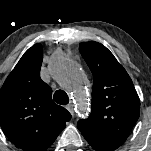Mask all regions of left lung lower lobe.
I'll return each instance as SVG.
<instances>
[{
	"label": "left lung lower lobe",
	"mask_w": 151,
	"mask_h": 151,
	"mask_svg": "<svg viewBox=\"0 0 151 151\" xmlns=\"http://www.w3.org/2000/svg\"><path fill=\"white\" fill-rule=\"evenodd\" d=\"M84 137L88 143L97 151H114L125 142V140L120 138H107L100 136Z\"/></svg>",
	"instance_id": "left-lung-lower-lobe-1"
}]
</instances>
